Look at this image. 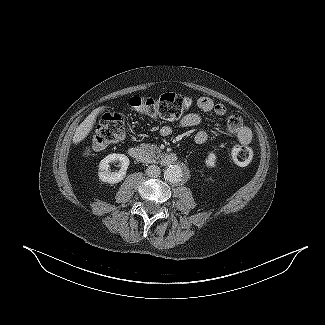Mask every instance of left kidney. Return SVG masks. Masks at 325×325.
Masks as SVG:
<instances>
[{
	"mask_svg": "<svg viewBox=\"0 0 325 325\" xmlns=\"http://www.w3.org/2000/svg\"><path fill=\"white\" fill-rule=\"evenodd\" d=\"M216 155L214 153H209L206 160H205V164L207 167H215L216 166Z\"/></svg>",
	"mask_w": 325,
	"mask_h": 325,
	"instance_id": "obj_1",
	"label": "left kidney"
}]
</instances>
